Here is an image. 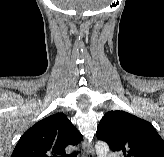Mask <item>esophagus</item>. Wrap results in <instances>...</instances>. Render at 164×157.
Returning <instances> with one entry per match:
<instances>
[{
  "label": "esophagus",
  "mask_w": 164,
  "mask_h": 157,
  "mask_svg": "<svg viewBox=\"0 0 164 157\" xmlns=\"http://www.w3.org/2000/svg\"><path fill=\"white\" fill-rule=\"evenodd\" d=\"M84 147H85V157H94L93 146L89 142L85 141Z\"/></svg>",
  "instance_id": "34e87169"
}]
</instances>
